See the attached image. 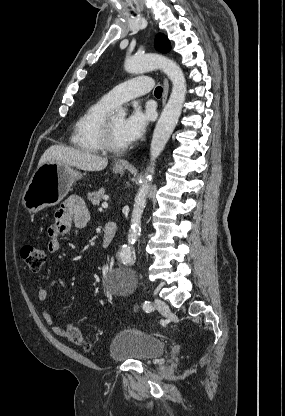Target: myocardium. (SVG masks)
Here are the masks:
<instances>
[{"label":"myocardium","instance_id":"1","mask_svg":"<svg viewBox=\"0 0 285 416\" xmlns=\"http://www.w3.org/2000/svg\"><path fill=\"white\" fill-rule=\"evenodd\" d=\"M99 141L101 147L104 151L109 152L111 154L119 155L126 151L127 146L124 147H117L112 144L110 139V129H109V118L104 117L100 123L99 130Z\"/></svg>","mask_w":285,"mask_h":416}]
</instances>
